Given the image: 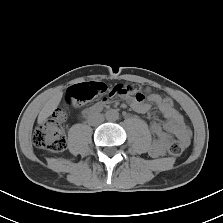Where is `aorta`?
I'll list each match as a JSON object with an SVG mask.
<instances>
[{"label":"aorta","instance_id":"obj_1","mask_svg":"<svg viewBox=\"0 0 223 223\" xmlns=\"http://www.w3.org/2000/svg\"><path fill=\"white\" fill-rule=\"evenodd\" d=\"M105 117L108 121H116L119 117V114L116 110L110 109L105 113Z\"/></svg>","mask_w":223,"mask_h":223}]
</instances>
